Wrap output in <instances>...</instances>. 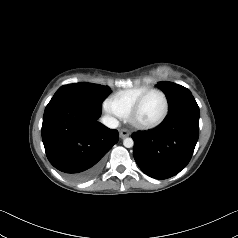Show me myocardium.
Instances as JSON below:
<instances>
[{
	"label": "myocardium",
	"mask_w": 238,
	"mask_h": 238,
	"mask_svg": "<svg viewBox=\"0 0 238 238\" xmlns=\"http://www.w3.org/2000/svg\"><path fill=\"white\" fill-rule=\"evenodd\" d=\"M151 92H159L163 99H164V103H165V107H164V111L162 113V115L155 120L154 122L151 123H139L136 120L138 111L144 101V99L151 93ZM169 113V100L168 97L166 95V93L161 90L160 88L157 87H149L146 91H144L135 101V103L133 104L127 118L129 120V122L135 126L138 129H142V130H148V129H153L156 128L157 126H159L161 123L164 122V120L166 119V117L168 116Z\"/></svg>",
	"instance_id": "myocardium-1"
}]
</instances>
